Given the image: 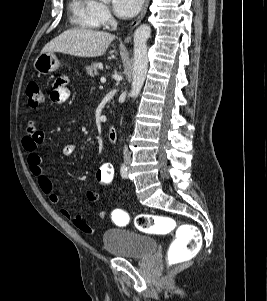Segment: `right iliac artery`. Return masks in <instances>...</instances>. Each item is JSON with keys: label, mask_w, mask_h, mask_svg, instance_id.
Masks as SVG:
<instances>
[{"label": "right iliac artery", "mask_w": 267, "mask_h": 301, "mask_svg": "<svg viewBox=\"0 0 267 301\" xmlns=\"http://www.w3.org/2000/svg\"><path fill=\"white\" fill-rule=\"evenodd\" d=\"M120 174L123 179L127 178L128 169L125 164H122L121 169H120Z\"/></svg>", "instance_id": "1"}]
</instances>
